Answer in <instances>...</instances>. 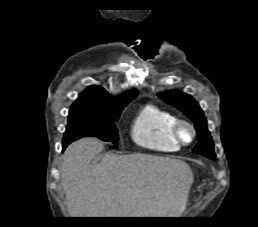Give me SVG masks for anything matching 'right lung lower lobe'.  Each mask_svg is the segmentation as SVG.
<instances>
[{
    "instance_id": "obj_1",
    "label": "right lung lower lobe",
    "mask_w": 258,
    "mask_h": 227,
    "mask_svg": "<svg viewBox=\"0 0 258 227\" xmlns=\"http://www.w3.org/2000/svg\"><path fill=\"white\" fill-rule=\"evenodd\" d=\"M69 144H63V151L65 150V148L68 146Z\"/></svg>"
}]
</instances>
